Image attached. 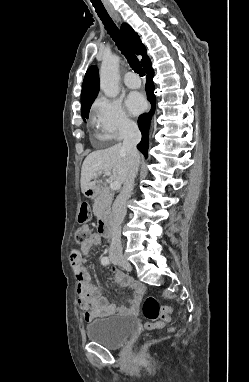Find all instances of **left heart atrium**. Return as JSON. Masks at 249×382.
Wrapping results in <instances>:
<instances>
[{"label": "left heart atrium", "mask_w": 249, "mask_h": 382, "mask_svg": "<svg viewBox=\"0 0 249 382\" xmlns=\"http://www.w3.org/2000/svg\"><path fill=\"white\" fill-rule=\"evenodd\" d=\"M126 106L132 114H138L145 108V100L142 95L132 93L126 100Z\"/></svg>", "instance_id": "1"}]
</instances>
